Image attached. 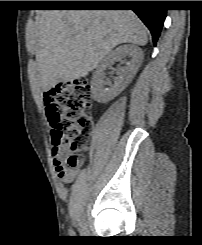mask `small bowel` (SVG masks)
<instances>
[{"instance_id": "1", "label": "small bowel", "mask_w": 202, "mask_h": 245, "mask_svg": "<svg viewBox=\"0 0 202 245\" xmlns=\"http://www.w3.org/2000/svg\"><path fill=\"white\" fill-rule=\"evenodd\" d=\"M44 104L46 105L49 118L53 117L55 105H56V92L54 89H50L44 94ZM64 144L51 147V155L53 159V166L57 177L62 180L63 183H71L77 176L79 167H69L66 164V155L64 153Z\"/></svg>"}]
</instances>
